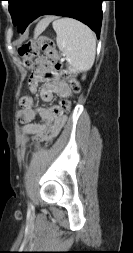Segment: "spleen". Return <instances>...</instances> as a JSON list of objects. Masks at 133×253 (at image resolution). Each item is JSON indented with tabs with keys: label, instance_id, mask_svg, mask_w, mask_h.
Masks as SVG:
<instances>
[{
	"label": "spleen",
	"instance_id": "1",
	"mask_svg": "<svg viewBox=\"0 0 133 253\" xmlns=\"http://www.w3.org/2000/svg\"><path fill=\"white\" fill-rule=\"evenodd\" d=\"M56 43L66 56L68 73L77 74L91 68L96 54L93 31L85 24L72 18L56 19L53 22Z\"/></svg>",
	"mask_w": 133,
	"mask_h": 253
}]
</instances>
